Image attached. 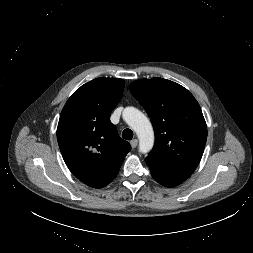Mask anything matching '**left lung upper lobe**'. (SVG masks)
Masks as SVG:
<instances>
[{"instance_id":"left-lung-upper-lobe-1","label":"left lung upper lobe","mask_w":253,"mask_h":253,"mask_svg":"<svg viewBox=\"0 0 253 253\" xmlns=\"http://www.w3.org/2000/svg\"><path fill=\"white\" fill-rule=\"evenodd\" d=\"M129 88L148 113L155 131V145L145 162L189 178L207 140L200 105L183 86L159 77L134 81Z\"/></svg>"}]
</instances>
